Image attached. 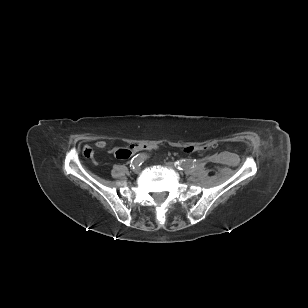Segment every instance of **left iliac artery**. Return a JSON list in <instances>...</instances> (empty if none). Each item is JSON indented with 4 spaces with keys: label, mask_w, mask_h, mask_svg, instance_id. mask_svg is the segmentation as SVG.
Wrapping results in <instances>:
<instances>
[{
    "label": "left iliac artery",
    "mask_w": 308,
    "mask_h": 308,
    "mask_svg": "<svg viewBox=\"0 0 308 308\" xmlns=\"http://www.w3.org/2000/svg\"><path fill=\"white\" fill-rule=\"evenodd\" d=\"M195 161L196 160L182 159V160L175 162V165L177 166L179 170H185L188 168H194V166L196 165Z\"/></svg>",
    "instance_id": "obj_1"
}]
</instances>
